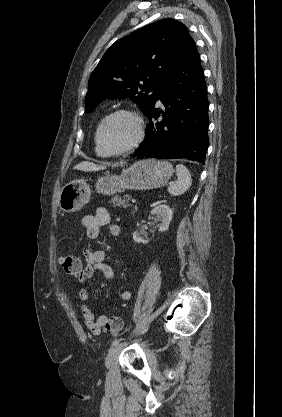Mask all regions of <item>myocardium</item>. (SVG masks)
<instances>
[{
	"instance_id": "1",
	"label": "myocardium",
	"mask_w": 282,
	"mask_h": 417,
	"mask_svg": "<svg viewBox=\"0 0 282 417\" xmlns=\"http://www.w3.org/2000/svg\"><path fill=\"white\" fill-rule=\"evenodd\" d=\"M125 117L133 121L135 125V135L134 137L126 144L121 145L119 147H110L106 143V134L107 129L109 125L117 118ZM145 135L144 131V121L143 119L135 112L128 111V110H117L113 112L112 114L108 115L104 121L102 122L100 129H99V135H98V146L101 149V151L106 155H114L119 154L125 151H128L136 146H138Z\"/></svg>"
}]
</instances>
